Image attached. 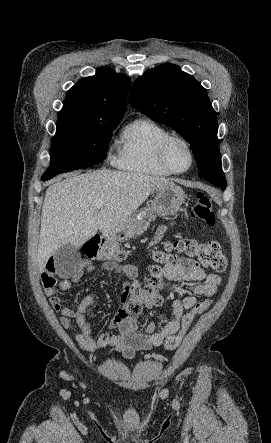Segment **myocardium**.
I'll return each instance as SVG.
<instances>
[{
    "label": "myocardium",
    "instance_id": "myocardium-1",
    "mask_svg": "<svg viewBox=\"0 0 271 443\" xmlns=\"http://www.w3.org/2000/svg\"><path fill=\"white\" fill-rule=\"evenodd\" d=\"M173 140H180L181 142H183L187 148L189 149V152L191 154V164L190 166L186 169V170H176L172 167V165L170 164L168 157H167V148L168 145L171 141ZM158 157L159 160L161 161V163L173 174H184L189 172L195 165V160H196V155H195V150L192 146V144L190 143V141L188 139H186L185 137L179 135V134H174V133H169L168 135H166L159 143L158 145Z\"/></svg>",
    "mask_w": 271,
    "mask_h": 443
}]
</instances>
